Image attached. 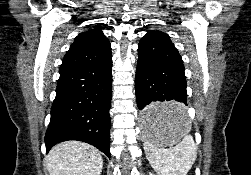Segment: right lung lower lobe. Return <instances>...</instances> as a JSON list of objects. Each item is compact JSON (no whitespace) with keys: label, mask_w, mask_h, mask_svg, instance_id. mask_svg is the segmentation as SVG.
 <instances>
[{"label":"right lung lower lobe","mask_w":251,"mask_h":175,"mask_svg":"<svg viewBox=\"0 0 251 175\" xmlns=\"http://www.w3.org/2000/svg\"><path fill=\"white\" fill-rule=\"evenodd\" d=\"M59 74L46 151L59 142L79 140L110 158L112 54L104 62L59 70Z\"/></svg>","instance_id":"1"}]
</instances>
